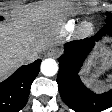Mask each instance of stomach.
Instances as JSON below:
<instances>
[{
	"label": "stomach",
	"instance_id": "stomach-1",
	"mask_svg": "<svg viewBox=\"0 0 112 112\" xmlns=\"http://www.w3.org/2000/svg\"><path fill=\"white\" fill-rule=\"evenodd\" d=\"M111 66L112 54L108 50L102 49L97 53L94 60L89 63L87 75L90 79L98 78Z\"/></svg>",
	"mask_w": 112,
	"mask_h": 112
}]
</instances>
